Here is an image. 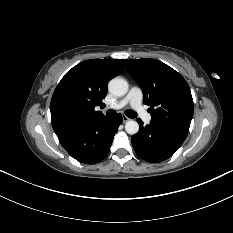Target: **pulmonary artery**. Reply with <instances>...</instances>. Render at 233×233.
Listing matches in <instances>:
<instances>
[{
	"label": "pulmonary artery",
	"mask_w": 233,
	"mask_h": 233,
	"mask_svg": "<svg viewBox=\"0 0 233 233\" xmlns=\"http://www.w3.org/2000/svg\"><path fill=\"white\" fill-rule=\"evenodd\" d=\"M143 94L139 87L133 86L129 90L127 96L122 100L109 105L108 109H121L126 105H130L140 117L147 123L151 121V116L145 111L142 106Z\"/></svg>",
	"instance_id": "pulmonary-artery-1"
}]
</instances>
